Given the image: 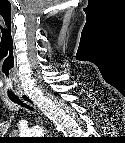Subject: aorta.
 Returning a JSON list of instances; mask_svg holds the SVG:
<instances>
[{"mask_svg": "<svg viewBox=\"0 0 125 143\" xmlns=\"http://www.w3.org/2000/svg\"><path fill=\"white\" fill-rule=\"evenodd\" d=\"M43 133V129L41 127H34L30 131L27 132L28 135H41Z\"/></svg>", "mask_w": 125, "mask_h": 143, "instance_id": "1", "label": "aorta"}]
</instances>
